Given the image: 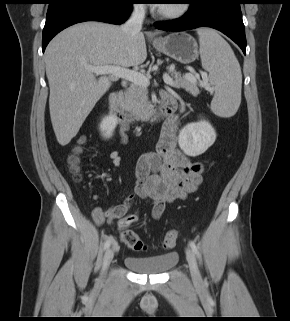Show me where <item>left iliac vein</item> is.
<instances>
[{
  "instance_id": "1",
  "label": "left iliac vein",
  "mask_w": 290,
  "mask_h": 321,
  "mask_svg": "<svg viewBox=\"0 0 290 321\" xmlns=\"http://www.w3.org/2000/svg\"><path fill=\"white\" fill-rule=\"evenodd\" d=\"M186 258L189 264V269L193 282L196 285L201 286L203 284V280L198 268L197 260L193 251L189 247L186 248Z\"/></svg>"
}]
</instances>
